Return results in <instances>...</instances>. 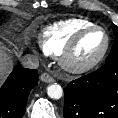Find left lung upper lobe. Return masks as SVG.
<instances>
[{"label": "left lung upper lobe", "mask_w": 118, "mask_h": 118, "mask_svg": "<svg viewBox=\"0 0 118 118\" xmlns=\"http://www.w3.org/2000/svg\"><path fill=\"white\" fill-rule=\"evenodd\" d=\"M113 31L115 34V40H114V44L112 46L111 52H110L109 56L106 58L105 64L118 61V26L114 25Z\"/></svg>", "instance_id": "obj_1"}]
</instances>
